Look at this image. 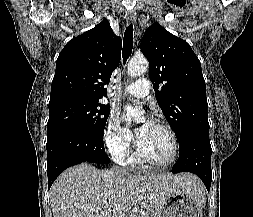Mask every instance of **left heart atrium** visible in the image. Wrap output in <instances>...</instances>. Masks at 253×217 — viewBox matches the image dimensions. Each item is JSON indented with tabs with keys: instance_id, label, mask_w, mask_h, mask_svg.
Instances as JSON below:
<instances>
[{
	"instance_id": "1",
	"label": "left heart atrium",
	"mask_w": 253,
	"mask_h": 217,
	"mask_svg": "<svg viewBox=\"0 0 253 217\" xmlns=\"http://www.w3.org/2000/svg\"><path fill=\"white\" fill-rule=\"evenodd\" d=\"M154 124H153V122L151 121V120H148L145 124H144V126L146 127V128H149V127H151V126H153Z\"/></svg>"
}]
</instances>
